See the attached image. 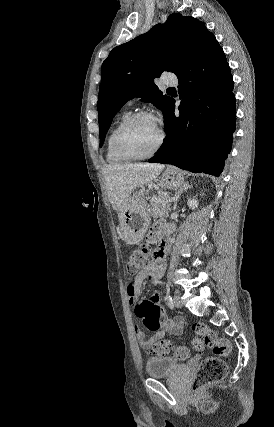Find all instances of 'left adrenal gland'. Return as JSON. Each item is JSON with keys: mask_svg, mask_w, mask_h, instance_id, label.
<instances>
[{"mask_svg": "<svg viewBox=\"0 0 274 427\" xmlns=\"http://www.w3.org/2000/svg\"><path fill=\"white\" fill-rule=\"evenodd\" d=\"M188 188H192V186H188V184H186V186H184V188H180V190H178V192H176V196H175V200H174V206H173L172 210H176L178 200H179L182 192H186V190H188Z\"/></svg>", "mask_w": 274, "mask_h": 427, "instance_id": "obj_1", "label": "left adrenal gland"}]
</instances>
